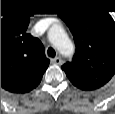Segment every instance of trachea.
Returning a JSON list of instances; mask_svg holds the SVG:
<instances>
[{
  "label": "trachea",
  "instance_id": "1",
  "mask_svg": "<svg viewBox=\"0 0 115 114\" xmlns=\"http://www.w3.org/2000/svg\"><path fill=\"white\" fill-rule=\"evenodd\" d=\"M47 53H48V56L49 57H55V55H56V52H55V50L53 49V48H48V51H47Z\"/></svg>",
  "mask_w": 115,
  "mask_h": 114
}]
</instances>
